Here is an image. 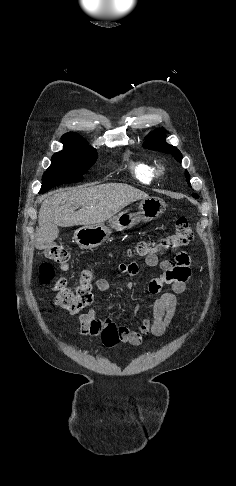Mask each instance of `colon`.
<instances>
[{
  "label": "colon",
  "instance_id": "obj_1",
  "mask_svg": "<svg viewBox=\"0 0 236 486\" xmlns=\"http://www.w3.org/2000/svg\"><path fill=\"white\" fill-rule=\"evenodd\" d=\"M193 239V230L185 216L179 217L175 222L174 231L160 240H145L139 242L134 254L140 257H149L165 250H175L188 245ZM46 261L40 266V280L48 284L54 277L51 262L64 267L69 261L68 251L58 243L49 245L44 252ZM93 273L90 269L80 272L79 283L75 288H70L64 278H58L53 283L55 292V304L71 313H77L91 304Z\"/></svg>",
  "mask_w": 236,
  "mask_h": 486
}]
</instances>
